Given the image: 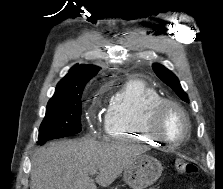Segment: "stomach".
Returning a JSON list of instances; mask_svg holds the SVG:
<instances>
[{
    "instance_id": "1",
    "label": "stomach",
    "mask_w": 223,
    "mask_h": 189,
    "mask_svg": "<svg viewBox=\"0 0 223 189\" xmlns=\"http://www.w3.org/2000/svg\"><path fill=\"white\" fill-rule=\"evenodd\" d=\"M162 171L163 167L157 159L142 154L125 168L123 180L132 189H144L153 184L161 176Z\"/></svg>"
}]
</instances>
